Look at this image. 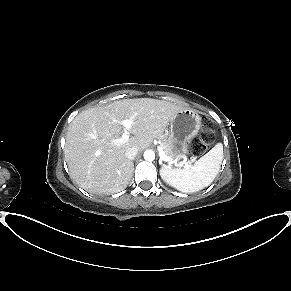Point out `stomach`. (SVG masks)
<instances>
[{"label": "stomach", "mask_w": 291, "mask_h": 291, "mask_svg": "<svg viewBox=\"0 0 291 291\" xmlns=\"http://www.w3.org/2000/svg\"><path fill=\"white\" fill-rule=\"evenodd\" d=\"M201 117L195 110L179 112L170 121L169 156L180 160L188 152V142L198 133Z\"/></svg>", "instance_id": "obj_1"}]
</instances>
